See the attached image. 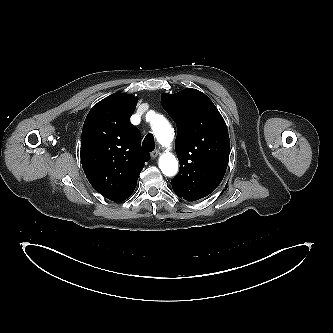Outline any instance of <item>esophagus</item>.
Here are the masks:
<instances>
[{"instance_id": "obj_1", "label": "esophagus", "mask_w": 333, "mask_h": 333, "mask_svg": "<svg viewBox=\"0 0 333 333\" xmlns=\"http://www.w3.org/2000/svg\"><path fill=\"white\" fill-rule=\"evenodd\" d=\"M160 154V151L158 149L152 151L150 153L151 158H156Z\"/></svg>"}]
</instances>
